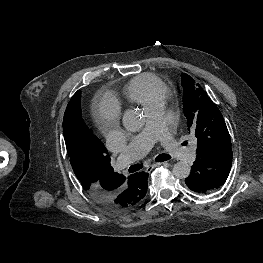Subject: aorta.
Wrapping results in <instances>:
<instances>
[{"instance_id": "762f6f07", "label": "aorta", "mask_w": 263, "mask_h": 263, "mask_svg": "<svg viewBox=\"0 0 263 263\" xmlns=\"http://www.w3.org/2000/svg\"><path fill=\"white\" fill-rule=\"evenodd\" d=\"M144 125L143 118L137 110H127L123 117V126L126 130L135 132ZM191 167L187 162H177L173 166V175L179 179H185L190 175Z\"/></svg>"}]
</instances>
